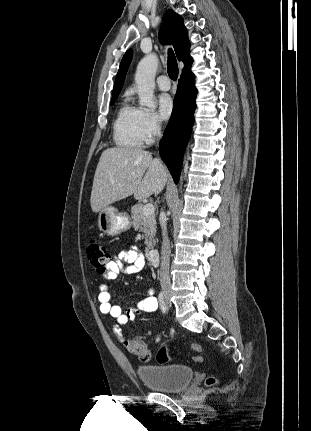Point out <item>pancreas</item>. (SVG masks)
Here are the masks:
<instances>
[{"label":"pancreas","mask_w":311,"mask_h":431,"mask_svg":"<svg viewBox=\"0 0 311 431\" xmlns=\"http://www.w3.org/2000/svg\"><path fill=\"white\" fill-rule=\"evenodd\" d=\"M143 204H135L131 208L132 225L134 229L144 231V243L146 245L145 251H150L155 245L154 235L156 233V219L154 214L151 216H144Z\"/></svg>","instance_id":"1"}]
</instances>
